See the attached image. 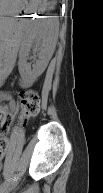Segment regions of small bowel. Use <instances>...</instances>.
I'll list each match as a JSON object with an SVG mask.
<instances>
[{
  "mask_svg": "<svg viewBox=\"0 0 103 193\" xmlns=\"http://www.w3.org/2000/svg\"><path fill=\"white\" fill-rule=\"evenodd\" d=\"M4 97L6 99H8V101H9L7 111L9 110V111L12 112L15 109V102H14V100L10 96H8V95H4ZM5 175H7V169L6 168H5Z\"/></svg>",
  "mask_w": 103,
  "mask_h": 193,
  "instance_id": "c3829d8e",
  "label": "small bowel"
}]
</instances>
